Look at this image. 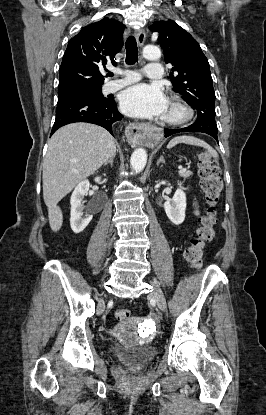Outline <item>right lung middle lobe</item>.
<instances>
[{
	"label": "right lung middle lobe",
	"instance_id": "obj_1",
	"mask_svg": "<svg viewBox=\"0 0 266 415\" xmlns=\"http://www.w3.org/2000/svg\"><path fill=\"white\" fill-rule=\"evenodd\" d=\"M69 99H86V100L104 101L107 98H105L102 95L101 87L85 88V89H79V90H74V91L58 94V101L69 100Z\"/></svg>",
	"mask_w": 266,
	"mask_h": 415
}]
</instances>
